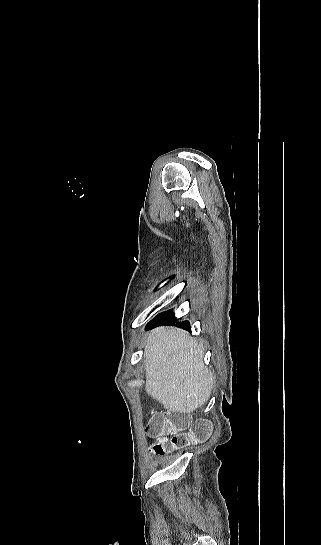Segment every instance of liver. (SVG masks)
Wrapping results in <instances>:
<instances>
[{
	"label": "liver",
	"mask_w": 321,
	"mask_h": 545,
	"mask_svg": "<svg viewBox=\"0 0 321 545\" xmlns=\"http://www.w3.org/2000/svg\"><path fill=\"white\" fill-rule=\"evenodd\" d=\"M146 393L173 413H190L208 401L213 375L204 367V349L174 327L151 331L145 343Z\"/></svg>",
	"instance_id": "obj_1"
}]
</instances>
